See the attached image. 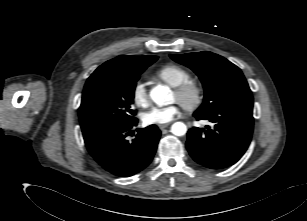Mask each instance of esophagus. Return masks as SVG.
I'll return each instance as SVG.
<instances>
[{
    "label": "esophagus",
    "instance_id": "obj_1",
    "mask_svg": "<svg viewBox=\"0 0 307 221\" xmlns=\"http://www.w3.org/2000/svg\"><path fill=\"white\" fill-rule=\"evenodd\" d=\"M169 125H170V123H166V124H161V125H158V126L161 130H163L164 128L168 127Z\"/></svg>",
    "mask_w": 307,
    "mask_h": 221
}]
</instances>
